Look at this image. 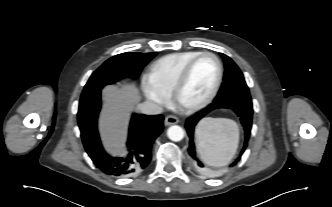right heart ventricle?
Masks as SVG:
<instances>
[{
  "label": "right heart ventricle",
  "instance_id": "obj_1",
  "mask_svg": "<svg viewBox=\"0 0 332 207\" xmlns=\"http://www.w3.org/2000/svg\"><path fill=\"white\" fill-rule=\"evenodd\" d=\"M199 53L201 52L185 51L159 58L150 66L146 76L148 83L159 92L169 96L185 65Z\"/></svg>",
  "mask_w": 332,
  "mask_h": 207
}]
</instances>
